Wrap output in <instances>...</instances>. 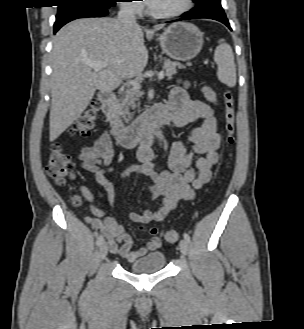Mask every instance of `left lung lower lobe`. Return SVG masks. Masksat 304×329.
I'll return each mask as SVG.
<instances>
[{"label":"left lung lower lobe","mask_w":304,"mask_h":329,"mask_svg":"<svg viewBox=\"0 0 304 329\" xmlns=\"http://www.w3.org/2000/svg\"><path fill=\"white\" fill-rule=\"evenodd\" d=\"M194 2L196 3V7L184 13L183 17L178 20L209 18L222 22L232 30L221 6V0H196Z\"/></svg>","instance_id":"left-lung-lower-lobe-1"}]
</instances>
